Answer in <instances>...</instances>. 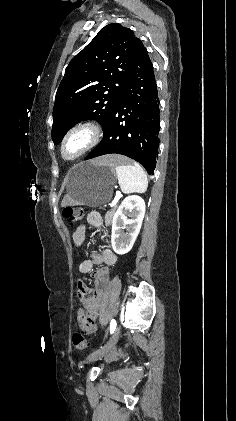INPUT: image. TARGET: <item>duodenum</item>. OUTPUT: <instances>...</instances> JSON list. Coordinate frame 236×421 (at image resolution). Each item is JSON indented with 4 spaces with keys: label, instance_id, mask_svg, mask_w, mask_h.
<instances>
[{
    "label": "duodenum",
    "instance_id": "duodenum-1",
    "mask_svg": "<svg viewBox=\"0 0 236 421\" xmlns=\"http://www.w3.org/2000/svg\"><path fill=\"white\" fill-rule=\"evenodd\" d=\"M93 261L103 263L107 266H111L116 262V255L111 250H104L101 256H94ZM95 278L97 280V285L93 290L92 296L84 299V302L85 304H87L88 310L90 311L91 318H94L95 314L99 310L103 291L108 279L107 268H101L96 270ZM85 318L86 315H83V319Z\"/></svg>",
    "mask_w": 236,
    "mask_h": 421
}]
</instances>
